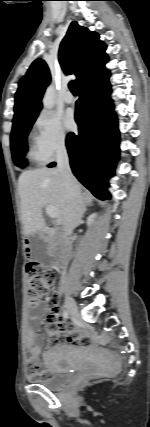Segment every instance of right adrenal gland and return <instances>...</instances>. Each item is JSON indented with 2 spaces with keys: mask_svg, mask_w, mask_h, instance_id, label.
Here are the masks:
<instances>
[{
  "mask_svg": "<svg viewBox=\"0 0 150 427\" xmlns=\"http://www.w3.org/2000/svg\"><path fill=\"white\" fill-rule=\"evenodd\" d=\"M83 200H84V212L83 213H85L87 210V206H92L93 203H92V198H90L86 194H83Z\"/></svg>",
  "mask_w": 150,
  "mask_h": 427,
  "instance_id": "right-adrenal-gland-1",
  "label": "right adrenal gland"
}]
</instances>
